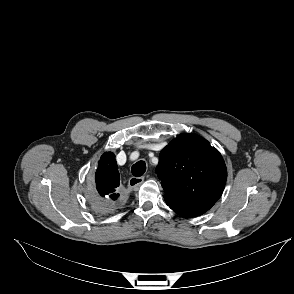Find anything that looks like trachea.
<instances>
[{
    "label": "trachea",
    "instance_id": "obj_1",
    "mask_svg": "<svg viewBox=\"0 0 294 294\" xmlns=\"http://www.w3.org/2000/svg\"><path fill=\"white\" fill-rule=\"evenodd\" d=\"M132 174L135 177H140L142 176L145 171H146V164L144 161H138L137 163H135L132 168H131Z\"/></svg>",
    "mask_w": 294,
    "mask_h": 294
}]
</instances>
